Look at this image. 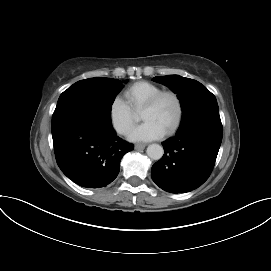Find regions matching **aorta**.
I'll use <instances>...</instances> for the list:
<instances>
[{
    "mask_svg": "<svg viewBox=\"0 0 271 271\" xmlns=\"http://www.w3.org/2000/svg\"><path fill=\"white\" fill-rule=\"evenodd\" d=\"M146 152H147V155L153 160L161 159L164 154L163 147L160 146L159 144H150L147 147Z\"/></svg>",
    "mask_w": 271,
    "mask_h": 271,
    "instance_id": "1",
    "label": "aorta"
}]
</instances>
